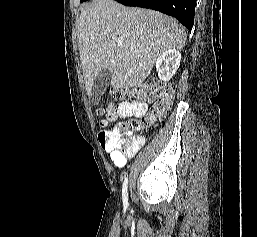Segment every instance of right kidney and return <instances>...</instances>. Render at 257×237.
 Listing matches in <instances>:
<instances>
[{
    "instance_id": "1",
    "label": "right kidney",
    "mask_w": 257,
    "mask_h": 237,
    "mask_svg": "<svg viewBox=\"0 0 257 237\" xmlns=\"http://www.w3.org/2000/svg\"><path fill=\"white\" fill-rule=\"evenodd\" d=\"M181 60L180 51L175 48L164 51L156 60V71L160 80L167 82L177 71Z\"/></svg>"
}]
</instances>
